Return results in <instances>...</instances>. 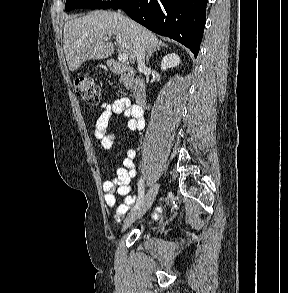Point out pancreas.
Instances as JSON below:
<instances>
[{
    "mask_svg": "<svg viewBox=\"0 0 288 293\" xmlns=\"http://www.w3.org/2000/svg\"><path fill=\"white\" fill-rule=\"evenodd\" d=\"M120 82H123V83H124V86H125L126 88H129V87H130V83L128 84V83L124 80L123 77H120Z\"/></svg>",
    "mask_w": 288,
    "mask_h": 293,
    "instance_id": "cf45deb5",
    "label": "pancreas"
}]
</instances>
